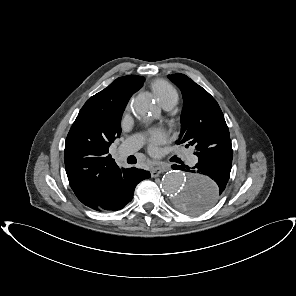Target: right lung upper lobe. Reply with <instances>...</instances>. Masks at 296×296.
Returning a JSON list of instances; mask_svg holds the SVG:
<instances>
[{
  "label": "right lung upper lobe",
  "mask_w": 296,
  "mask_h": 296,
  "mask_svg": "<svg viewBox=\"0 0 296 296\" xmlns=\"http://www.w3.org/2000/svg\"><path fill=\"white\" fill-rule=\"evenodd\" d=\"M143 82V77L135 75L117 78L87 100L67 135L64 161L68 180L77 198L88 207L124 170L108 149L121 133V117L129 98Z\"/></svg>",
  "instance_id": "cb5924a9"
}]
</instances>
